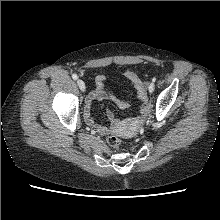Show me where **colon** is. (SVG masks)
<instances>
[{
    "label": "colon",
    "instance_id": "colon-1",
    "mask_svg": "<svg viewBox=\"0 0 220 220\" xmlns=\"http://www.w3.org/2000/svg\"><path fill=\"white\" fill-rule=\"evenodd\" d=\"M148 108V104L144 105V109L146 110ZM107 142L108 144L112 147V148H115V149H118L120 148V145H121V141L120 139L115 136V135H110L108 138H107Z\"/></svg>",
    "mask_w": 220,
    "mask_h": 220
}]
</instances>
